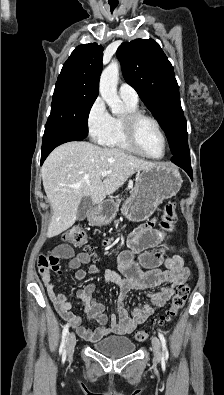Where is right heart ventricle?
<instances>
[{
	"instance_id": "1",
	"label": "right heart ventricle",
	"mask_w": 224,
	"mask_h": 395,
	"mask_svg": "<svg viewBox=\"0 0 224 395\" xmlns=\"http://www.w3.org/2000/svg\"><path fill=\"white\" fill-rule=\"evenodd\" d=\"M124 101L126 112L138 111V105ZM123 116H111L107 132L98 140L103 146L118 149L132 154L141 155L128 143L123 130Z\"/></svg>"
}]
</instances>
